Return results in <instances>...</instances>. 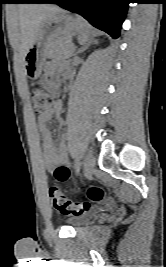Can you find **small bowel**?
Masks as SVG:
<instances>
[{
  "mask_svg": "<svg viewBox=\"0 0 166 267\" xmlns=\"http://www.w3.org/2000/svg\"><path fill=\"white\" fill-rule=\"evenodd\" d=\"M59 71L67 72V68L59 65L58 63H48L46 65V71L43 77L44 85L52 90H56L58 87L56 75ZM60 113L61 103L57 101L49 109L39 113L37 116V126L41 137L44 164L46 169L52 172L55 177L57 172L60 170L66 171L69 176L65 142L62 139L59 145L56 146L53 140L52 132L47 126V122L54 117H59ZM68 176L62 181L67 180Z\"/></svg>",
  "mask_w": 166,
  "mask_h": 267,
  "instance_id": "obj_1",
  "label": "small bowel"
}]
</instances>
